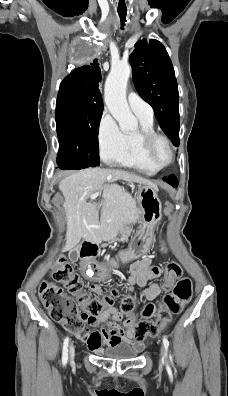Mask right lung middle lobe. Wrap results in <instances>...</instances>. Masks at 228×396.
<instances>
[{"label":"right lung middle lobe","mask_w":228,"mask_h":396,"mask_svg":"<svg viewBox=\"0 0 228 396\" xmlns=\"http://www.w3.org/2000/svg\"><path fill=\"white\" fill-rule=\"evenodd\" d=\"M102 113L103 106H89L72 94L58 92L55 117L60 169L77 170L100 164L98 131Z\"/></svg>","instance_id":"right-lung-middle-lobe-1"}]
</instances>
